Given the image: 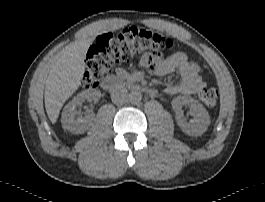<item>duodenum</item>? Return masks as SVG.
I'll use <instances>...</instances> for the list:
<instances>
[{"label":"duodenum","mask_w":265,"mask_h":202,"mask_svg":"<svg viewBox=\"0 0 265 202\" xmlns=\"http://www.w3.org/2000/svg\"><path fill=\"white\" fill-rule=\"evenodd\" d=\"M124 82L120 81L118 78L114 76H106L101 80V87L108 91H115L119 86L123 85ZM132 87L135 90L142 91L148 95H152L154 93L153 89L148 86H141L139 84H133Z\"/></svg>","instance_id":"duodenum-1"}]
</instances>
